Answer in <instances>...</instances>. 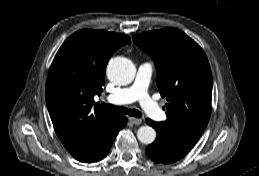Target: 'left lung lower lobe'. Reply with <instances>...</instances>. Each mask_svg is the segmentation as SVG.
Returning <instances> with one entry per match:
<instances>
[{
  "mask_svg": "<svg viewBox=\"0 0 259 176\" xmlns=\"http://www.w3.org/2000/svg\"><path fill=\"white\" fill-rule=\"evenodd\" d=\"M146 122L155 128L157 138L146 147L147 156L159 163H173L183 158L197 143L198 140L171 132L166 126L152 120Z\"/></svg>",
  "mask_w": 259,
  "mask_h": 176,
  "instance_id": "obj_1",
  "label": "left lung lower lobe"
}]
</instances>
